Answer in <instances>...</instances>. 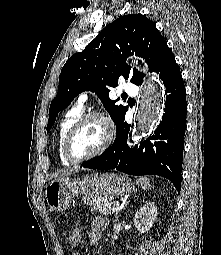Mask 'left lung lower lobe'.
<instances>
[{
  "label": "left lung lower lobe",
  "instance_id": "0a47b994",
  "mask_svg": "<svg viewBox=\"0 0 221 255\" xmlns=\"http://www.w3.org/2000/svg\"><path fill=\"white\" fill-rule=\"evenodd\" d=\"M152 71L163 80L167 94L165 113L154 134L139 147L129 148L127 138L130 125L123 116L116 125L113 145L81 166L99 170L116 169L131 175L163 176L180 192L187 102L181 72L168 46L163 48Z\"/></svg>",
  "mask_w": 221,
  "mask_h": 255
}]
</instances>
